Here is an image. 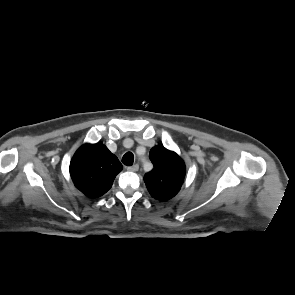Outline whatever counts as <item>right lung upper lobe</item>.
Listing matches in <instances>:
<instances>
[{
    "instance_id": "1",
    "label": "right lung upper lobe",
    "mask_w": 295,
    "mask_h": 295,
    "mask_svg": "<svg viewBox=\"0 0 295 295\" xmlns=\"http://www.w3.org/2000/svg\"><path fill=\"white\" fill-rule=\"evenodd\" d=\"M122 164L101 144H84L70 162V175L75 186L87 197L97 198L112 186Z\"/></svg>"
}]
</instances>
